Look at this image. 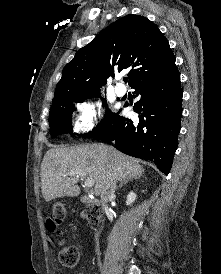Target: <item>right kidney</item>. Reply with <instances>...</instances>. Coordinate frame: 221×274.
<instances>
[{"label":"right kidney","mask_w":221,"mask_h":274,"mask_svg":"<svg viewBox=\"0 0 221 274\" xmlns=\"http://www.w3.org/2000/svg\"><path fill=\"white\" fill-rule=\"evenodd\" d=\"M136 199V194L134 192H130L127 195V199H126V205H131Z\"/></svg>","instance_id":"right-kidney-1"}]
</instances>
